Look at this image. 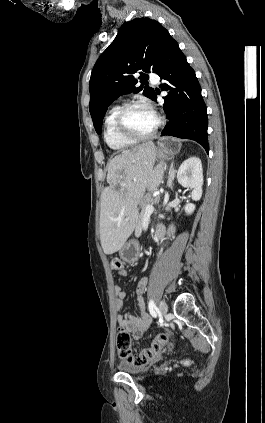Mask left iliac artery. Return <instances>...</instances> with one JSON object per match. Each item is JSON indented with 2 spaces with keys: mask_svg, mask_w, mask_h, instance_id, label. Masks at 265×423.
Wrapping results in <instances>:
<instances>
[{
  "mask_svg": "<svg viewBox=\"0 0 265 423\" xmlns=\"http://www.w3.org/2000/svg\"><path fill=\"white\" fill-rule=\"evenodd\" d=\"M148 307H149L150 314L153 317H156L157 316V314L155 312L156 306H155L154 301L152 299H150Z\"/></svg>",
  "mask_w": 265,
  "mask_h": 423,
  "instance_id": "left-iliac-artery-1",
  "label": "left iliac artery"
}]
</instances>
